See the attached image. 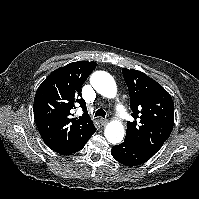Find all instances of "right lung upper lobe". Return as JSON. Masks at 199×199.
I'll use <instances>...</instances> for the list:
<instances>
[{
    "label": "right lung upper lobe",
    "instance_id": "obj_1",
    "mask_svg": "<svg viewBox=\"0 0 199 199\" xmlns=\"http://www.w3.org/2000/svg\"><path fill=\"white\" fill-rule=\"evenodd\" d=\"M95 62L79 61L54 70L39 86L34 98V117L47 146H70L87 138L95 129L81 97L85 80ZM82 107L84 114L71 117L72 109Z\"/></svg>",
    "mask_w": 199,
    "mask_h": 199
}]
</instances>
